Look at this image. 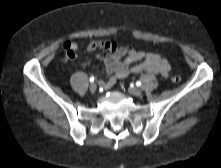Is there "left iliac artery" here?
Instances as JSON below:
<instances>
[{
	"instance_id": "left-iliac-artery-1",
	"label": "left iliac artery",
	"mask_w": 221,
	"mask_h": 168,
	"mask_svg": "<svg viewBox=\"0 0 221 168\" xmlns=\"http://www.w3.org/2000/svg\"><path fill=\"white\" fill-rule=\"evenodd\" d=\"M136 86H141V82H140V81H137V82H136Z\"/></svg>"
}]
</instances>
